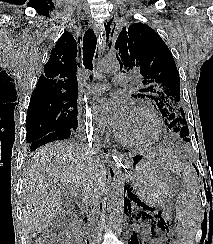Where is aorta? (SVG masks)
Returning a JSON list of instances; mask_svg holds the SVG:
<instances>
[{"instance_id":"1","label":"aorta","mask_w":213,"mask_h":244,"mask_svg":"<svg viewBox=\"0 0 213 244\" xmlns=\"http://www.w3.org/2000/svg\"><path fill=\"white\" fill-rule=\"evenodd\" d=\"M119 69L120 65L115 57L102 59L97 67L99 73H115ZM106 206L109 219L113 223L115 231L118 233L124 206V180L119 174L115 175L110 183Z\"/></svg>"}]
</instances>
